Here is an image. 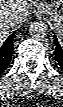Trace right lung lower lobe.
Listing matches in <instances>:
<instances>
[{
  "instance_id": "obj_1",
  "label": "right lung lower lobe",
  "mask_w": 63,
  "mask_h": 107,
  "mask_svg": "<svg viewBox=\"0 0 63 107\" xmlns=\"http://www.w3.org/2000/svg\"><path fill=\"white\" fill-rule=\"evenodd\" d=\"M14 34L15 32L0 47V74L8 67L12 59Z\"/></svg>"
}]
</instances>
